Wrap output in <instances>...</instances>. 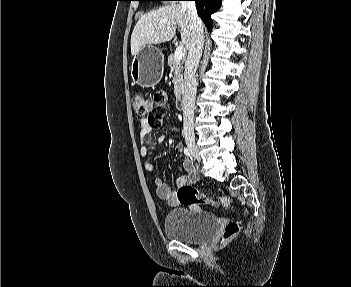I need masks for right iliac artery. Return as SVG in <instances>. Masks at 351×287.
I'll list each match as a JSON object with an SVG mask.
<instances>
[{"label":"right iliac artery","mask_w":351,"mask_h":287,"mask_svg":"<svg viewBox=\"0 0 351 287\" xmlns=\"http://www.w3.org/2000/svg\"><path fill=\"white\" fill-rule=\"evenodd\" d=\"M184 154L193 161V154L188 148H184Z\"/></svg>","instance_id":"1"}]
</instances>
